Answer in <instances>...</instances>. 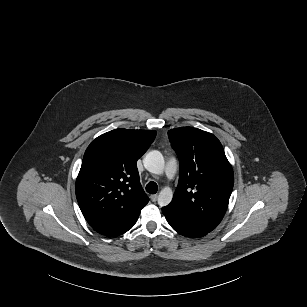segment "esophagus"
Instances as JSON below:
<instances>
[{
  "label": "esophagus",
  "mask_w": 307,
  "mask_h": 307,
  "mask_svg": "<svg viewBox=\"0 0 307 307\" xmlns=\"http://www.w3.org/2000/svg\"><path fill=\"white\" fill-rule=\"evenodd\" d=\"M150 198H151L152 202H156L157 201V194H152L150 196Z\"/></svg>",
  "instance_id": "obj_1"
}]
</instances>
